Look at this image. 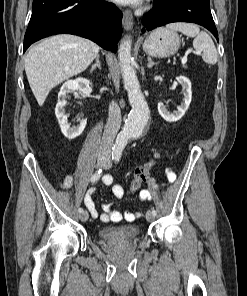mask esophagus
Returning <instances> with one entry per match:
<instances>
[{
	"label": "esophagus",
	"mask_w": 247,
	"mask_h": 296,
	"mask_svg": "<svg viewBox=\"0 0 247 296\" xmlns=\"http://www.w3.org/2000/svg\"><path fill=\"white\" fill-rule=\"evenodd\" d=\"M123 27L126 31H129L132 29L133 27V15L132 12L130 10H125L123 12Z\"/></svg>",
	"instance_id": "esophagus-1"
}]
</instances>
